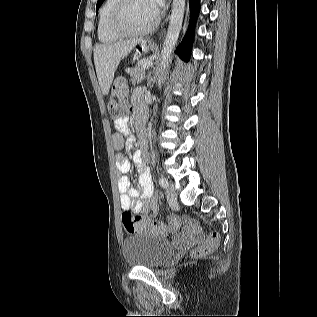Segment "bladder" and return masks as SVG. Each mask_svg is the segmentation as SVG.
Masks as SVG:
<instances>
[{
    "label": "bladder",
    "instance_id": "bladder-1",
    "mask_svg": "<svg viewBox=\"0 0 317 317\" xmlns=\"http://www.w3.org/2000/svg\"><path fill=\"white\" fill-rule=\"evenodd\" d=\"M122 251L129 265L155 268L167 262L174 255L175 248L169 240L144 232L126 237Z\"/></svg>",
    "mask_w": 317,
    "mask_h": 317
}]
</instances>
